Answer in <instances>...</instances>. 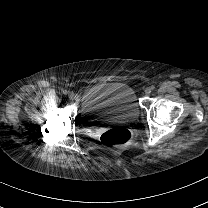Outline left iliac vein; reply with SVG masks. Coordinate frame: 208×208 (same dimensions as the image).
Listing matches in <instances>:
<instances>
[{
  "instance_id": "obj_1",
  "label": "left iliac vein",
  "mask_w": 208,
  "mask_h": 208,
  "mask_svg": "<svg viewBox=\"0 0 208 208\" xmlns=\"http://www.w3.org/2000/svg\"><path fill=\"white\" fill-rule=\"evenodd\" d=\"M150 93H151V89H150V88H146V89H145V94H146V95H149Z\"/></svg>"
}]
</instances>
